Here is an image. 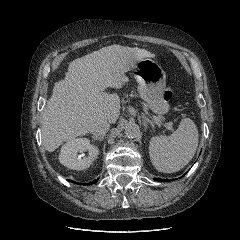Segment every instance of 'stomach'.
I'll return each mask as SVG.
<instances>
[{"instance_id":"0dacf381","label":"stomach","mask_w":240,"mask_h":240,"mask_svg":"<svg viewBox=\"0 0 240 240\" xmlns=\"http://www.w3.org/2000/svg\"><path fill=\"white\" fill-rule=\"evenodd\" d=\"M134 78L139 84L140 97L150 109L163 115L169 111L168 101L164 99L166 73L162 67L151 58L137 61L133 67Z\"/></svg>"}]
</instances>
